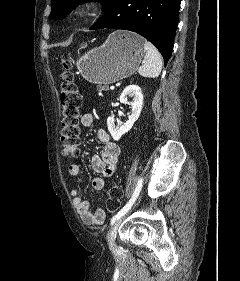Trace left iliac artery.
I'll return each instance as SVG.
<instances>
[{
    "instance_id": "obj_1",
    "label": "left iliac artery",
    "mask_w": 240,
    "mask_h": 281,
    "mask_svg": "<svg viewBox=\"0 0 240 281\" xmlns=\"http://www.w3.org/2000/svg\"><path fill=\"white\" fill-rule=\"evenodd\" d=\"M142 188V179H139L136 189L132 195V198L129 202L111 219V224H113L116 220H118L121 216H123L134 204L135 200L137 199L140 190Z\"/></svg>"
}]
</instances>
